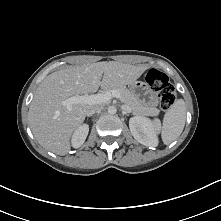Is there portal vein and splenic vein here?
<instances>
[{
  "label": "portal vein and splenic vein",
  "instance_id": "portal-vein-and-splenic-vein-1",
  "mask_svg": "<svg viewBox=\"0 0 221 221\" xmlns=\"http://www.w3.org/2000/svg\"><path fill=\"white\" fill-rule=\"evenodd\" d=\"M112 97L121 99V95L118 91H106L103 93L95 94V95H82V96H72L62 102L68 109V111L72 110V105L74 104H102L111 100Z\"/></svg>",
  "mask_w": 221,
  "mask_h": 221
}]
</instances>
